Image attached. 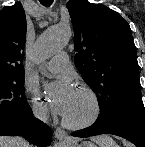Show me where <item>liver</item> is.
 <instances>
[{"mask_svg": "<svg viewBox=\"0 0 145 147\" xmlns=\"http://www.w3.org/2000/svg\"><path fill=\"white\" fill-rule=\"evenodd\" d=\"M0 147H30L21 137L0 136Z\"/></svg>", "mask_w": 145, "mask_h": 147, "instance_id": "liver-1", "label": "liver"}]
</instances>
